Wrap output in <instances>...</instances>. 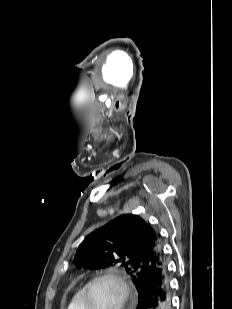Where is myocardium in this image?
<instances>
[{"label":"myocardium","instance_id":"f54148a6","mask_svg":"<svg viewBox=\"0 0 232 309\" xmlns=\"http://www.w3.org/2000/svg\"><path fill=\"white\" fill-rule=\"evenodd\" d=\"M103 279H108L113 282H115L120 290H121V300L120 304L117 307V309H126L128 302L131 298V287L126 281L125 277L118 271L115 270H108V271H103L95 276H93L83 287V294H82V305L83 309H92L89 301V294H90V289L93 286L94 283H96L99 280Z\"/></svg>","mask_w":232,"mask_h":309}]
</instances>
